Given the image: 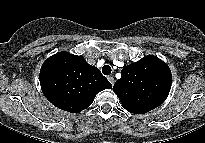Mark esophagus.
Instances as JSON below:
<instances>
[{
  "label": "esophagus",
  "mask_w": 205,
  "mask_h": 143,
  "mask_svg": "<svg viewBox=\"0 0 205 143\" xmlns=\"http://www.w3.org/2000/svg\"><path fill=\"white\" fill-rule=\"evenodd\" d=\"M107 78H108L109 82H110L112 85L115 83V79H114L113 76H108Z\"/></svg>",
  "instance_id": "obj_1"
}]
</instances>
